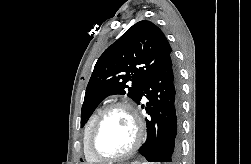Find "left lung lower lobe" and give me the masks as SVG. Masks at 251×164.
<instances>
[{"mask_svg": "<svg viewBox=\"0 0 251 164\" xmlns=\"http://www.w3.org/2000/svg\"><path fill=\"white\" fill-rule=\"evenodd\" d=\"M144 95L149 100L146 104L149 117L147 139L139 153L149 162L175 164L180 154L181 84L172 57L147 79L141 99Z\"/></svg>", "mask_w": 251, "mask_h": 164, "instance_id": "obj_1", "label": "left lung lower lobe"}]
</instances>
